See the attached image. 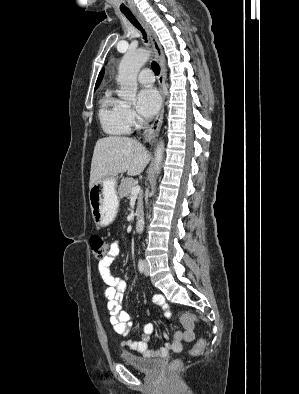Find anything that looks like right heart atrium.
<instances>
[{
	"mask_svg": "<svg viewBox=\"0 0 299 394\" xmlns=\"http://www.w3.org/2000/svg\"><path fill=\"white\" fill-rule=\"evenodd\" d=\"M125 119L129 125V127L133 126L136 123V114L133 109L126 107L125 108Z\"/></svg>",
	"mask_w": 299,
	"mask_h": 394,
	"instance_id": "1",
	"label": "right heart atrium"
}]
</instances>
